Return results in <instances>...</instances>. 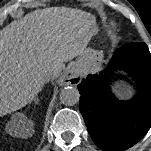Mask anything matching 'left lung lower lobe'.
<instances>
[{
  "label": "left lung lower lobe",
  "mask_w": 151,
  "mask_h": 151,
  "mask_svg": "<svg viewBox=\"0 0 151 151\" xmlns=\"http://www.w3.org/2000/svg\"><path fill=\"white\" fill-rule=\"evenodd\" d=\"M127 72L137 94L118 100L110 90L112 71ZM80 112L97 147L122 151L140 141L151 127V54L145 43H130L118 49L108 69L89 74L77 86Z\"/></svg>",
  "instance_id": "0a47b994"
}]
</instances>
